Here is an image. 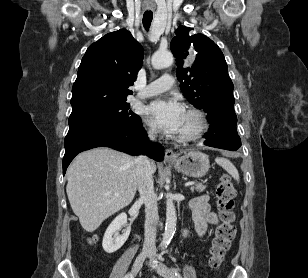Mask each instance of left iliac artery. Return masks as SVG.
<instances>
[{
    "mask_svg": "<svg viewBox=\"0 0 308 278\" xmlns=\"http://www.w3.org/2000/svg\"><path fill=\"white\" fill-rule=\"evenodd\" d=\"M164 252H162L163 254ZM171 270L173 271V273H175V275L178 277V278H181L180 274H179V269L177 268H171Z\"/></svg>",
    "mask_w": 308,
    "mask_h": 278,
    "instance_id": "obj_1",
    "label": "left iliac artery"
}]
</instances>
